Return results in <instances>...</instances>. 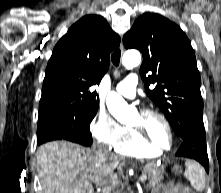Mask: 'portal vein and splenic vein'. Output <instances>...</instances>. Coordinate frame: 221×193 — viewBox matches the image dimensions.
Listing matches in <instances>:
<instances>
[{"label": "portal vein and splenic vein", "mask_w": 221, "mask_h": 193, "mask_svg": "<svg viewBox=\"0 0 221 193\" xmlns=\"http://www.w3.org/2000/svg\"><path fill=\"white\" fill-rule=\"evenodd\" d=\"M145 180H146V176H145V175H141V176L139 177V181H140V182H145Z\"/></svg>", "instance_id": "portal-vein-and-splenic-vein-1"}]
</instances>
